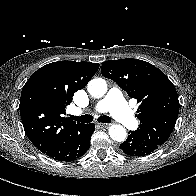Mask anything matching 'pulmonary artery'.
Returning a JSON list of instances; mask_svg holds the SVG:
<instances>
[{"label": "pulmonary artery", "instance_id": "pulmonary-artery-1", "mask_svg": "<svg viewBox=\"0 0 196 196\" xmlns=\"http://www.w3.org/2000/svg\"><path fill=\"white\" fill-rule=\"evenodd\" d=\"M94 111L98 113L109 111L115 119L129 129H135L138 125L136 117L118 89L110 90L106 97L95 106Z\"/></svg>", "mask_w": 196, "mask_h": 196}]
</instances>
